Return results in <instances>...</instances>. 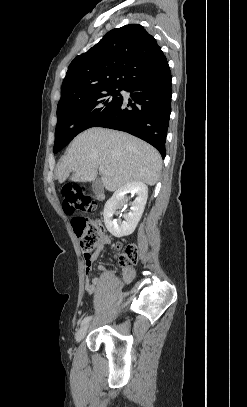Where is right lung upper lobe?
I'll list each match as a JSON object with an SVG mask.
<instances>
[{"label": "right lung upper lobe", "mask_w": 247, "mask_h": 407, "mask_svg": "<svg viewBox=\"0 0 247 407\" xmlns=\"http://www.w3.org/2000/svg\"><path fill=\"white\" fill-rule=\"evenodd\" d=\"M165 61L156 39L143 26L129 24L113 29L71 62L57 107L109 87H125L136 75Z\"/></svg>", "instance_id": "cb5924a9"}]
</instances>
